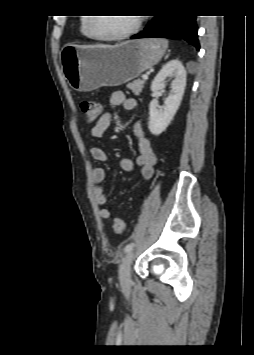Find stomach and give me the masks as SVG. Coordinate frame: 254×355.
I'll return each instance as SVG.
<instances>
[{
    "label": "stomach",
    "mask_w": 254,
    "mask_h": 355,
    "mask_svg": "<svg viewBox=\"0 0 254 355\" xmlns=\"http://www.w3.org/2000/svg\"><path fill=\"white\" fill-rule=\"evenodd\" d=\"M167 47L165 39L157 38L132 40L112 47L66 45L60 52V62L70 86L89 92L138 77L162 59Z\"/></svg>",
    "instance_id": "stomach-1"
}]
</instances>
